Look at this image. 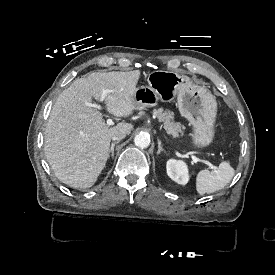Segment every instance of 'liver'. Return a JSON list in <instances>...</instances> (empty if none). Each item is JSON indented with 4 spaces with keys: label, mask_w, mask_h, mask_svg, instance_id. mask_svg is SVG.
I'll use <instances>...</instances> for the list:
<instances>
[{
    "label": "liver",
    "mask_w": 275,
    "mask_h": 275,
    "mask_svg": "<svg viewBox=\"0 0 275 275\" xmlns=\"http://www.w3.org/2000/svg\"><path fill=\"white\" fill-rule=\"evenodd\" d=\"M140 76L139 70L107 73L95 72L78 78L57 98L45 130L44 151L55 176L73 188L94 185L105 167L114 132L130 123L109 127L96 108L85 103L92 97L100 100L103 90L107 111L117 117L132 114V96Z\"/></svg>",
    "instance_id": "obj_1"
}]
</instances>
